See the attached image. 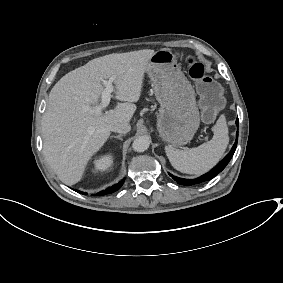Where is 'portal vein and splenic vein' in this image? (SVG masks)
I'll return each mask as SVG.
<instances>
[{
  "label": "portal vein and splenic vein",
  "mask_w": 283,
  "mask_h": 283,
  "mask_svg": "<svg viewBox=\"0 0 283 283\" xmlns=\"http://www.w3.org/2000/svg\"><path fill=\"white\" fill-rule=\"evenodd\" d=\"M114 77L109 78V80H104L105 89L102 92V104L103 106H107L110 102V94L116 92V88L113 85Z\"/></svg>",
  "instance_id": "1"
}]
</instances>
